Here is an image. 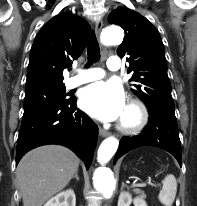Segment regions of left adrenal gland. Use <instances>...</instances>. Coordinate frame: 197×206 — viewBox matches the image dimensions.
<instances>
[{
    "instance_id": "left-adrenal-gland-1",
    "label": "left adrenal gland",
    "mask_w": 197,
    "mask_h": 206,
    "mask_svg": "<svg viewBox=\"0 0 197 206\" xmlns=\"http://www.w3.org/2000/svg\"><path fill=\"white\" fill-rule=\"evenodd\" d=\"M124 187H127V185L124 182H122L121 189H123Z\"/></svg>"
}]
</instances>
